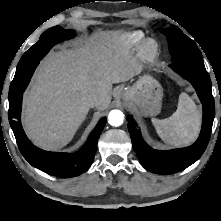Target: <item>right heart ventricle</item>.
Wrapping results in <instances>:
<instances>
[{"instance_id":"right-heart-ventricle-1","label":"right heart ventricle","mask_w":221,"mask_h":221,"mask_svg":"<svg viewBox=\"0 0 221 221\" xmlns=\"http://www.w3.org/2000/svg\"><path fill=\"white\" fill-rule=\"evenodd\" d=\"M142 38H143V34L139 31L129 33L125 36L127 43L130 45L138 44L142 40Z\"/></svg>"}]
</instances>
